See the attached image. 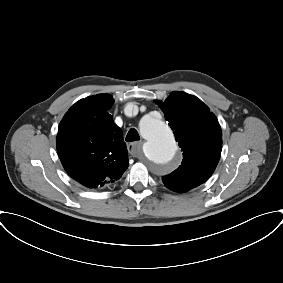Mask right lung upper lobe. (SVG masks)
I'll return each mask as SVG.
<instances>
[{
    "instance_id": "1",
    "label": "right lung upper lobe",
    "mask_w": 283,
    "mask_h": 283,
    "mask_svg": "<svg viewBox=\"0 0 283 283\" xmlns=\"http://www.w3.org/2000/svg\"><path fill=\"white\" fill-rule=\"evenodd\" d=\"M113 103L108 94L79 100L59 124L60 160L72 178L89 188L113 183L129 165L122 131L108 113Z\"/></svg>"
}]
</instances>
